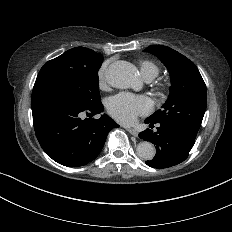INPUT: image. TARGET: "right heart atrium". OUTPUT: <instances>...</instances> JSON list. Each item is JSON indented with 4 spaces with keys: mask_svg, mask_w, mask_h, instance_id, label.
Segmentation results:
<instances>
[{
    "mask_svg": "<svg viewBox=\"0 0 232 232\" xmlns=\"http://www.w3.org/2000/svg\"><path fill=\"white\" fill-rule=\"evenodd\" d=\"M106 67H107V65H104V66L101 68V70H100V76H101V78L104 79L105 81H106V79H105V70H106Z\"/></svg>",
    "mask_w": 232,
    "mask_h": 232,
    "instance_id": "obj_1",
    "label": "right heart atrium"
}]
</instances>
